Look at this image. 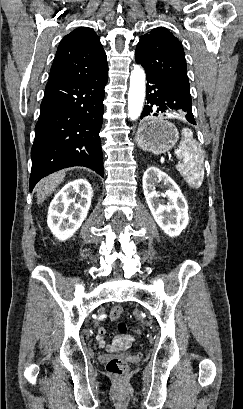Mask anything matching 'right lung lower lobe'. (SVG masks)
I'll return each instance as SVG.
<instances>
[{
	"label": "right lung lower lobe",
	"mask_w": 243,
	"mask_h": 409,
	"mask_svg": "<svg viewBox=\"0 0 243 409\" xmlns=\"http://www.w3.org/2000/svg\"><path fill=\"white\" fill-rule=\"evenodd\" d=\"M108 68L85 80L47 83L31 150L30 191L54 171L85 166L104 177L99 132Z\"/></svg>",
	"instance_id": "obj_1"
}]
</instances>
